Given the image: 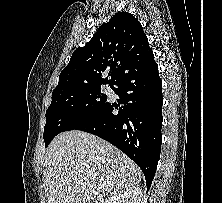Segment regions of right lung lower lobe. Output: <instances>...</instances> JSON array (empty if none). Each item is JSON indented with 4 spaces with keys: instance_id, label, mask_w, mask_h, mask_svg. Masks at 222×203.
<instances>
[{
    "instance_id": "98d812e1",
    "label": "right lung lower lobe",
    "mask_w": 222,
    "mask_h": 203,
    "mask_svg": "<svg viewBox=\"0 0 222 203\" xmlns=\"http://www.w3.org/2000/svg\"><path fill=\"white\" fill-rule=\"evenodd\" d=\"M111 88L123 106L106 101L64 131L89 132L119 148L142 169L149 190L162 142L163 96L158 65L153 59L119 77Z\"/></svg>"
}]
</instances>
